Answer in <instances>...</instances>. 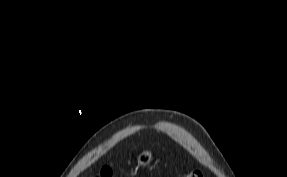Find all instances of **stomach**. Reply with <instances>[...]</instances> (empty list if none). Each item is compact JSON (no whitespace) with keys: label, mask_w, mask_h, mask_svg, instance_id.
<instances>
[{"label":"stomach","mask_w":287,"mask_h":177,"mask_svg":"<svg viewBox=\"0 0 287 177\" xmlns=\"http://www.w3.org/2000/svg\"><path fill=\"white\" fill-rule=\"evenodd\" d=\"M153 160L152 153L148 150L142 151L138 156H137V163L138 166H148Z\"/></svg>","instance_id":"stomach-1"}]
</instances>
